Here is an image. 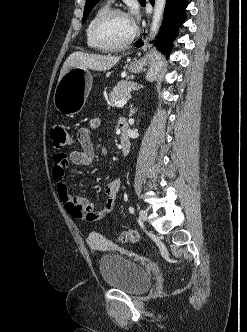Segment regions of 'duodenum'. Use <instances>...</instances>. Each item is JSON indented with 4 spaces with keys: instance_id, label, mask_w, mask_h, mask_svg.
<instances>
[{
    "instance_id": "1",
    "label": "duodenum",
    "mask_w": 247,
    "mask_h": 332,
    "mask_svg": "<svg viewBox=\"0 0 247 332\" xmlns=\"http://www.w3.org/2000/svg\"><path fill=\"white\" fill-rule=\"evenodd\" d=\"M119 125L122 130L121 141H120V150L123 155H127L130 151L131 141L127 132V123L124 118H120Z\"/></svg>"
}]
</instances>
